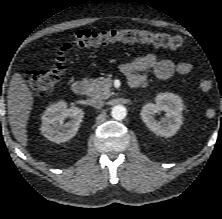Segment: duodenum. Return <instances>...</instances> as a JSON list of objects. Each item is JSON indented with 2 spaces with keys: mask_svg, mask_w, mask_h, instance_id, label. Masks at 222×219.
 <instances>
[{
  "mask_svg": "<svg viewBox=\"0 0 222 219\" xmlns=\"http://www.w3.org/2000/svg\"><path fill=\"white\" fill-rule=\"evenodd\" d=\"M139 85H135L132 87H137ZM72 92L75 95H84L87 90V83L83 80H76L72 83Z\"/></svg>",
  "mask_w": 222,
  "mask_h": 219,
  "instance_id": "duodenum-1",
  "label": "duodenum"
}]
</instances>
